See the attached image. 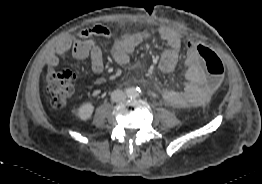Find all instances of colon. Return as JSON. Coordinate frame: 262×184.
<instances>
[{"mask_svg": "<svg viewBox=\"0 0 262 184\" xmlns=\"http://www.w3.org/2000/svg\"><path fill=\"white\" fill-rule=\"evenodd\" d=\"M194 54L201 60L206 71V83L211 90L217 89L224 79L225 68L218 55L208 46L196 44ZM74 90V75L69 70L51 72L47 77V91L50 104L55 109H61Z\"/></svg>", "mask_w": 262, "mask_h": 184, "instance_id": "5ec220e1", "label": "colon"}]
</instances>
